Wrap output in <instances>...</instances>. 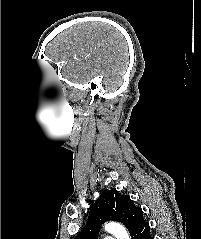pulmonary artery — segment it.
I'll return each mask as SVG.
<instances>
[{"label":"pulmonary artery","instance_id":"e3ab8cb5","mask_svg":"<svg viewBox=\"0 0 201 239\" xmlns=\"http://www.w3.org/2000/svg\"><path fill=\"white\" fill-rule=\"evenodd\" d=\"M104 239H114V237H112V236H106V237H104Z\"/></svg>","mask_w":201,"mask_h":239}]
</instances>
